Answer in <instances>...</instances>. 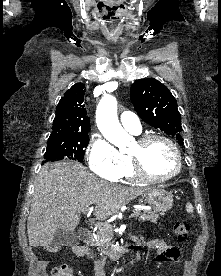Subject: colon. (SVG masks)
I'll return each mask as SVG.
<instances>
[{
	"label": "colon",
	"instance_id": "obj_1",
	"mask_svg": "<svg viewBox=\"0 0 221 276\" xmlns=\"http://www.w3.org/2000/svg\"><path fill=\"white\" fill-rule=\"evenodd\" d=\"M190 225L187 222H175L173 225V234L177 241L184 242L189 234ZM49 252H57L59 247L57 246H48L46 248ZM52 276H72L71 270L67 265H60L54 268Z\"/></svg>",
	"mask_w": 221,
	"mask_h": 276
}]
</instances>
